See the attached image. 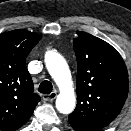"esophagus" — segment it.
<instances>
[{
  "label": "esophagus",
  "mask_w": 131,
  "mask_h": 131,
  "mask_svg": "<svg viewBox=\"0 0 131 131\" xmlns=\"http://www.w3.org/2000/svg\"><path fill=\"white\" fill-rule=\"evenodd\" d=\"M56 97H57V92L53 91L50 94L43 95V100L48 101V102H52Z\"/></svg>",
  "instance_id": "1"
}]
</instances>
